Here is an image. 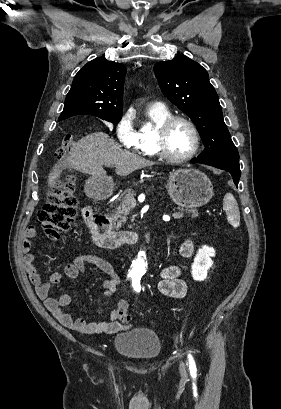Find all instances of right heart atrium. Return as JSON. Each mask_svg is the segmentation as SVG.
Listing matches in <instances>:
<instances>
[{
    "instance_id": "right-heart-atrium-1",
    "label": "right heart atrium",
    "mask_w": 281,
    "mask_h": 409,
    "mask_svg": "<svg viewBox=\"0 0 281 409\" xmlns=\"http://www.w3.org/2000/svg\"><path fill=\"white\" fill-rule=\"evenodd\" d=\"M116 136L126 148H133L136 132L132 126V119H119L115 125Z\"/></svg>"
}]
</instances>
